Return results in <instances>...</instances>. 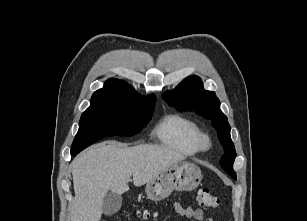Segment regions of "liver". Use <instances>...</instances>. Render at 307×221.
Listing matches in <instances>:
<instances>
[{"label":"liver","mask_w":307,"mask_h":221,"mask_svg":"<svg viewBox=\"0 0 307 221\" xmlns=\"http://www.w3.org/2000/svg\"><path fill=\"white\" fill-rule=\"evenodd\" d=\"M184 159L177 151L152 144L100 143L88 148L71 164L75 192L71 221H99L108 191L122 195L129 190L131 176L139 187Z\"/></svg>","instance_id":"obj_1"}]
</instances>
